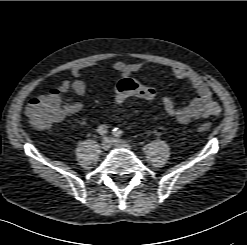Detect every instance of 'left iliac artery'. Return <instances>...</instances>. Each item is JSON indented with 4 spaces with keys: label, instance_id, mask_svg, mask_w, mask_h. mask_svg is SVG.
Here are the masks:
<instances>
[{
    "label": "left iliac artery",
    "instance_id": "left-iliac-artery-1",
    "mask_svg": "<svg viewBox=\"0 0 247 245\" xmlns=\"http://www.w3.org/2000/svg\"><path fill=\"white\" fill-rule=\"evenodd\" d=\"M112 134L116 137H120L122 135V131L119 128H114Z\"/></svg>",
    "mask_w": 247,
    "mask_h": 245
}]
</instances>
